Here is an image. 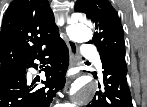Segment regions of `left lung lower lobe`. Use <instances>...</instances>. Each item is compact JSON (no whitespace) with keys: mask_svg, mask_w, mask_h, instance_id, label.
<instances>
[{"mask_svg":"<svg viewBox=\"0 0 147 107\" xmlns=\"http://www.w3.org/2000/svg\"><path fill=\"white\" fill-rule=\"evenodd\" d=\"M100 59L104 69L103 84L86 107H133L126 78L125 51L103 53Z\"/></svg>","mask_w":147,"mask_h":107,"instance_id":"0a47b994","label":"left lung lower lobe"}]
</instances>
